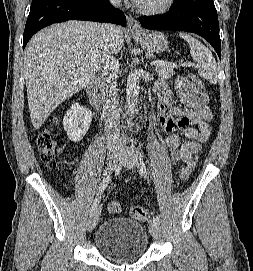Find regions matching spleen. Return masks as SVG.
<instances>
[{
    "label": "spleen",
    "instance_id": "1",
    "mask_svg": "<svg viewBox=\"0 0 253 271\" xmlns=\"http://www.w3.org/2000/svg\"><path fill=\"white\" fill-rule=\"evenodd\" d=\"M179 36L189 44L191 57L199 66V75L211 83H217V64L211 51L189 34L180 33Z\"/></svg>",
    "mask_w": 253,
    "mask_h": 271
}]
</instances>
